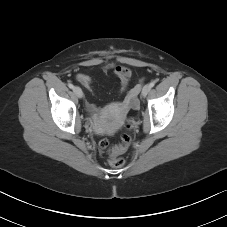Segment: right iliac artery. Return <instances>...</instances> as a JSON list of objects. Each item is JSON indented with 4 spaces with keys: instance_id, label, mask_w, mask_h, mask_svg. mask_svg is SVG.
<instances>
[{
    "instance_id": "right-iliac-artery-1",
    "label": "right iliac artery",
    "mask_w": 227,
    "mask_h": 227,
    "mask_svg": "<svg viewBox=\"0 0 227 227\" xmlns=\"http://www.w3.org/2000/svg\"><path fill=\"white\" fill-rule=\"evenodd\" d=\"M69 88L73 89L74 88V85L72 83H69L68 84Z\"/></svg>"
}]
</instances>
